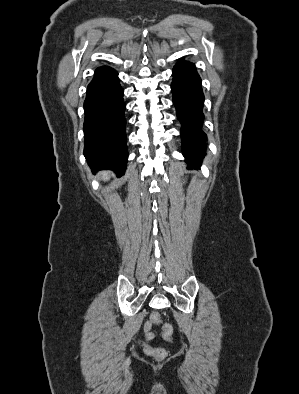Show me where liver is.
Listing matches in <instances>:
<instances>
[{
	"instance_id": "1",
	"label": "liver",
	"mask_w": 299,
	"mask_h": 394,
	"mask_svg": "<svg viewBox=\"0 0 299 394\" xmlns=\"http://www.w3.org/2000/svg\"><path fill=\"white\" fill-rule=\"evenodd\" d=\"M101 178H102L103 180H108V179H109V172H103V173L101 174Z\"/></svg>"
}]
</instances>
